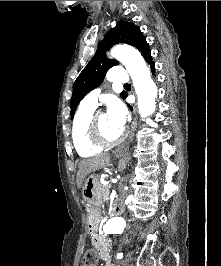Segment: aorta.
Here are the masks:
<instances>
[{
	"label": "aorta",
	"instance_id": "aorta-1",
	"mask_svg": "<svg viewBox=\"0 0 221 266\" xmlns=\"http://www.w3.org/2000/svg\"><path fill=\"white\" fill-rule=\"evenodd\" d=\"M110 55L120 61L130 74L141 117L152 115L156 109L157 86L153 82L150 70L141 54L131 47L116 45L112 48ZM125 226L123 218L112 217L103 225V229L109 234H121Z\"/></svg>",
	"mask_w": 221,
	"mask_h": 266
}]
</instances>
